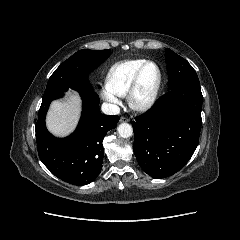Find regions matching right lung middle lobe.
Listing matches in <instances>:
<instances>
[{
  "label": "right lung middle lobe",
  "mask_w": 240,
  "mask_h": 240,
  "mask_svg": "<svg viewBox=\"0 0 240 240\" xmlns=\"http://www.w3.org/2000/svg\"><path fill=\"white\" fill-rule=\"evenodd\" d=\"M110 50H79L64 61L49 78L42 100L67 91L68 88L80 93L92 91L87 76L100 65Z\"/></svg>",
  "instance_id": "right-lung-middle-lobe-1"
}]
</instances>
